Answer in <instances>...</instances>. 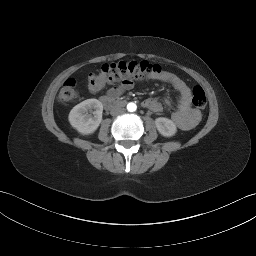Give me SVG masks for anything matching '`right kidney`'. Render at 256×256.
Instances as JSON below:
<instances>
[{
    "label": "right kidney",
    "instance_id": "1",
    "mask_svg": "<svg viewBox=\"0 0 256 256\" xmlns=\"http://www.w3.org/2000/svg\"><path fill=\"white\" fill-rule=\"evenodd\" d=\"M102 112L103 105L99 100L87 99L73 107L68 120L79 133L88 135L94 133L99 127L102 121Z\"/></svg>",
    "mask_w": 256,
    "mask_h": 256
}]
</instances>
